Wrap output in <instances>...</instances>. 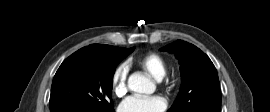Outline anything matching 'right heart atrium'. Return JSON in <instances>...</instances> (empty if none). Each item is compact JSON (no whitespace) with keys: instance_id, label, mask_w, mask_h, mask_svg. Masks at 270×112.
I'll return each instance as SVG.
<instances>
[{"instance_id":"d8ad5b80","label":"right heart atrium","mask_w":270,"mask_h":112,"mask_svg":"<svg viewBox=\"0 0 270 112\" xmlns=\"http://www.w3.org/2000/svg\"><path fill=\"white\" fill-rule=\"evenodd\" d=\"M128 65L119 64L111 75V87L115 96H123L127 91Z\"/></svg>"}]
</instances>
